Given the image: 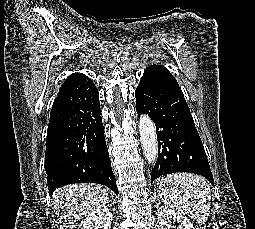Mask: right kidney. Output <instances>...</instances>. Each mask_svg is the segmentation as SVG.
Segmentation results:
<instances>
[{
    "label": "right kidney",
    "instance_id": "1",
    "mask_svg": "<svg viewBox=\"0 0 255 229\" xmlns=\"http://www.w3.org/2000/svg\"><path fill=\"white\" fill-rule=\"evenodd\" d=\"M113 215L108 208H98L82 221V229H109Z\"/></svg>",
    "mask_w": 255,
    "mask_h": 229
}]
</instances>
